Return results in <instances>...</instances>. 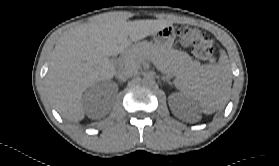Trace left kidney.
I'll return each instance as SVG.
<instances>
[{"mask_svg":"<svg viewBox=\"0 0 279 166\" xmlns=\"http://www.w3.org/2000/svg\"><path fill=\"white\" fill-rule=\"evenodd\" d=\"M178 107L179 108H193L194 104L190 101V98L187 96H179L178 98Z\"/></svg>","mask_w":279,"mask_h":166,"instance_id":"left-kidney-1","label":"left kidney"}]
</instances>
